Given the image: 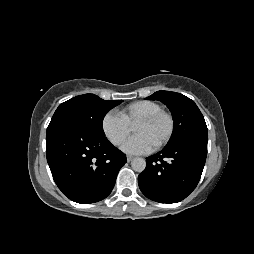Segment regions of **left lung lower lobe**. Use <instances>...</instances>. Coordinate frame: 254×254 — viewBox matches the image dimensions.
Instances as JSON below:
<instances>
[{
    "instance_id": "1",
    "label": "left lung lower lobe",
    "mask_w": 254,
    "mask_h": 254,
    "mask_svg": "<svg viewBox=\"0 0 254 254\" xmlns=\"http://www.w3.org/2000/svg\"><path fill=\"white\" fill-rule=\"evenodd\" d=\"M206 139H188L164 147L146 159V169L138 176L142 193L160 203H177L197 186L207 156Z\"/></svg>"
}]
</instances>
